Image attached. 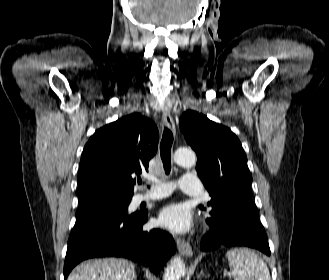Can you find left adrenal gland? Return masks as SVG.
<instances>
[{
	"instance_id": "1",
	"label": "left adrenal gland",
	"mask_w": 329,
	"mask_h": 280,
	"mask_svg": "<svg viewBox=\"0 0 329 280\" xmlns=\"http://www.w3.org/2000/svg\"><path fill=\"white\" fill-rule=\"evenodd\" d=\"M204 275V272H203V270H201V272H200V274L198 275V277L200 278L201 276H203Z\"/></svg>"
}]
</instances>
